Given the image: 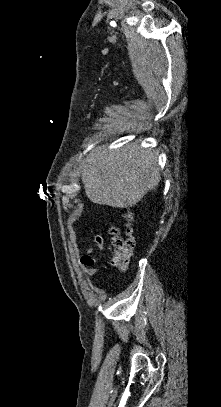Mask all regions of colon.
<instances>
[{"mask_svg":"<svg viewBox=\"0 0 221 407\" xmlns=\"http://www.w3.org/2000/svg\"><path fill=\"white\" fill-rule=\"evenodd\" d=\"M129 221L130 217L126 216ZM112 235L113 245V258L112 264L122 269L126 268L127 260L131 256L134 241L131 238V228L128 226L126 229V235H123L117 228H112L110 231Z\"/></svg>","mask_w":221,"mask_h":407,"instance_id":"5ec220e1","label":"colon"}]
</instances>
